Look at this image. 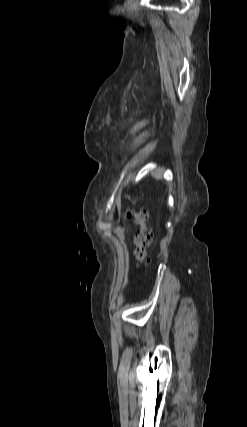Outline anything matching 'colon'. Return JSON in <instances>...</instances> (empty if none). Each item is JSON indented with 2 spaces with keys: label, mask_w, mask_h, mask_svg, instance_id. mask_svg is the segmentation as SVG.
<instances>
[{
  "label": "colon",
  "mask_w": 247,
  "mask_h": 427,
  "mask_svg": "<svg viewBox=\"0 0 247 427\" xmlns=\"http://www.w3.org/2000/svg\"><path fill=\"white\" fill-rule=\"evenodd\" d=\"M127 217L133 219L138 225L137 232L134 237V256L139 265H142L147 260L148 247L151 243V230L147 225L148 213L144 209L129 210Z\"/></svg>",
  "instance_id": "colon-1"
}]
</instances>
